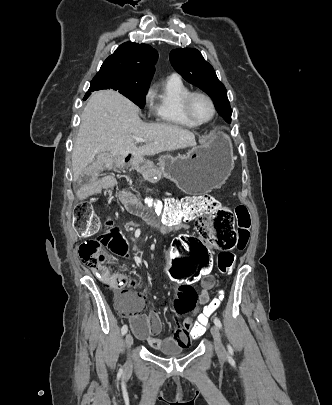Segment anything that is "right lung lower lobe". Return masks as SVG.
I'll return each instance as SVG.
<instances>
[{
    "instance_id": "1",
    "label": "right lung lower lobe",
    "mask_w": 332,
    "mask_h": 405,
    "mask_svg": "<svg viewBox=\"0 0 332 405\" xmlns=\"http://www.w3.org/2000/svg\"><path fill=\"white\" fill-rule=\"evenodd\" d=\"M90 94H91V92L88 91V92L86 93L85 97H84V100H85Z\"/></svg>"
}]
</instances>
